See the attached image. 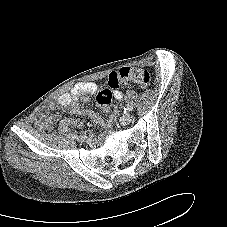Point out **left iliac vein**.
Segmentation results:
<instances>
[{"label":"left iliac vein","mask_w":227,"mask_h":227,"mask_svg":"<svg viewBox=\"0 0 227 227\" xmlns=\"http://www.w3.org/2000/svg\"><path fill=\"white\" fill-rule=\"evenodd\" d=\"M134 120L133 115L131 114H125L120 118V123L123 125L130 124Z\"/></svg>","instance_id":"obj_1"}]
</instances>
